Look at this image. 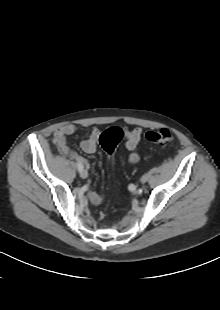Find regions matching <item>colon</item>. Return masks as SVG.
<instances>
[{"instance_id": "obj_1", "label": "colon", "mask_w": 220, "mask_h": 310, "mask_svg": "<svg viewBox=\"0 0 220 310\" xmlns=\"http://www.w3.org/2000/svg\"><path fill=\"white\" fill-rule=\"evenodd\" d=\"M124 137V131L119 127H111L103 131L99 136V143L108 158L112 160L116 146ZM145 138L147 141L156 144H168L173 137L170 130L162 128L159 130H150L146 132Z\"/></svg>"}]
</instances>
